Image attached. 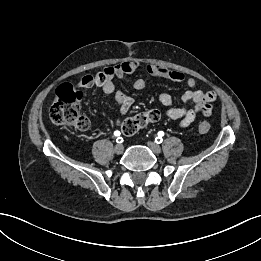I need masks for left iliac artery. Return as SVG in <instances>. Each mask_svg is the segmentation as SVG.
Returning a JSON list of instances; mask_svg holds the SVG:
<instances>
[{
	"instance_id": "obj_1",
	"label": "left iliac artery",
	"mask_w": 261,
	"mask_h": 261,
	"mask_svg": "<svg viewBox=\"0 0 261 261\" xmlns=\"http://www.w3.org/2000/svg\"><path fill=\"white\" fill-rule=\"evenodd\" d=\"M162 136H164V132L159 131L158 136L155 138V142L158 143V144L162 143V141H163Z\"/></svg>"
}]
</instances>
